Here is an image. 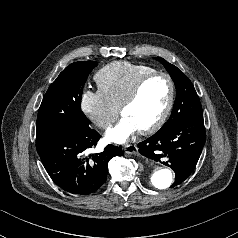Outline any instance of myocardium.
Instances as JSON below:
<instances>
[{
  "instance_id": "1",
  "label": "myocardium",
  "mask_w": 238,
  "mask_h": 238,
  "mask_svg": "<svg viewBox=\"0 0 238 238\" xmlns=\"http://www.w3.org/2000/svg\"><path fill=\"white\" fill-rule=\"evenodd\" d=\"M158 77L164 78L167 81L169 86V97H168L167 104L163 112L159 116V118L150 126L143 129H139V132L144 135L154 133L159 128H161V126L166 122V120L168 119L171 113V110L174 105V100H175V84L172 77L167 73L159 72V71H155L153 73H150L142 77L141 79L137 81V83L134 85V87L132 88L128 96L123 100V102L120 105V112L121 114H123L124 110L130 105H132L138 99L144 86L152 79H155Z\"/></svg>"
}]
</instances>
